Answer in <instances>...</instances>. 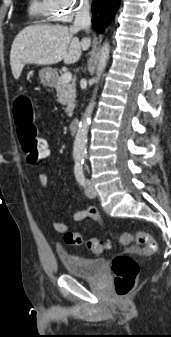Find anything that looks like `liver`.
Masks as SVG:
<instances>
[{
  "mask_svg": "<svg viewBox=\"0 0 171 337\" xmlns=\"http://www.w3.org/2000/svg\"><path fill=\"white\" fill-rule=\"evenodd\" d=\"M79 29L66 26L37 25L26 27L15 37L10 51V65L17 80L27 63L52 65L64 61L77 62L82 50L89 47V40L73 37Z\"/></svg>",
  "mask_w": 171,
  "mask_h": 337,
  "instance_id": "6515ba94",
  "label": "liver"
}]
</instances>
